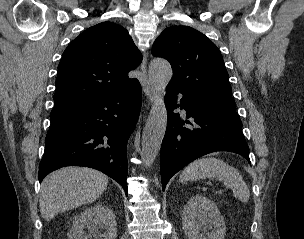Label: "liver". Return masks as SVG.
Returning <instances> with one entry per match:
<instances>
[{
  "label": "liver",
  "instance_id": "liver-1",
  "mask_svg": "<svg viewBox=\"0 0 304 239\" xmlns=\"http://www.w3.org/2000/svg\"><path fill=\"white\" fill-rule=\"evenodd\" d=\"M108 185V177L86 167H66L49 174L41 184L40 212L49 221L58 213L91 203Z\"/></svg>",
  "mask_w": 304,
  "mask_h": 239
}]
</instances>
